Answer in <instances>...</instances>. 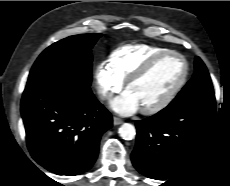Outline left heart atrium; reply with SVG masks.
Returning a JSON list of instances; mask_svg holds the SVG:
<instances>
[{
    "label": "left heart atrium",
    "instance_id": "1",
    "mask_svg": "<svg viewBox=\"0 0 230 186\" xmlns=\"http://www.w3.org/2000/svg\"><path fill=\"white\" fill-rule=\"evenodd\" d=\"M114 111L122 115L137 112L141 107L135 96L130 91H125L111 102Z\"/></svg>",
    "mask_w": 230,
    "mask_h": 186
}]
</instances>
